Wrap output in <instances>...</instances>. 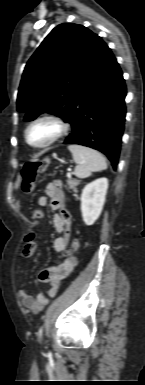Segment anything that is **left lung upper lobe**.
Listing matches in <instances>:
<instances>
[{
	"instance_id": "obj_1",
	"label": "left lung upper lobe",
	"mask_w": 145,
	"mask_h": 385,
	"mask_svg": "<svg viewBox=\"0 0 145 385\" xmlns=\"http://www.w3.org/2000/svg\"><path fill=\"white\" fill-rule=\"evenodd\" d=\"M97 38L88 28L69 23L49 33L23 72L17 110L26 113L25 121L48 112L68 122Z\"/></svg>"
}]
</instances>
